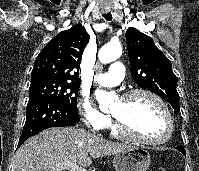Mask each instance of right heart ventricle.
Listing matches in <instances>:
<instances>
[{"label":"right heart ventricle","instance_id":"1","mask_svg":"<svg viewBox=\"0 0 199 171\" xmlns=\"http://www.w3.org/2000/svg\"><path fill=\"white\" fill-rule=\"evenodd\" d=\"M110 127V131H111V134L114 135V136H118L119 134L116 132V130L114 129V127L109 123L108 125Z\"/></svg>","mask_w":199,"mask_h":171}]
</instances>
